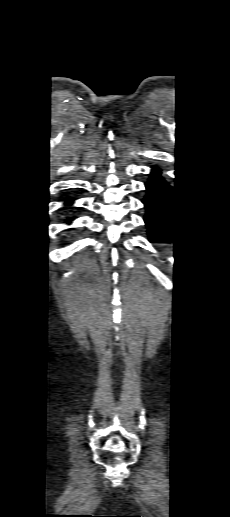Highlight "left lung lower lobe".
<instances>
[{
  "label": "left lung lower lobe",
  "instance_id": "1",
  "mask_svg": "<svg viewBox=\"0 0 230 517\" xmlns=\"http://www.w3.org/2000/svg\"><path fill=\"white\" fill-rule=\"evenodd\" d=\"M148 196L142 201L147 215L145 224L151 242L170 240L172 238L173 199L171 186L160 176V171L153 168L149 182L146 183Z\"/></svg>",
  "mask_w": 230,
  "mask_h": 517
}]
</instances>
